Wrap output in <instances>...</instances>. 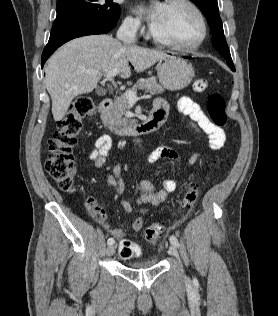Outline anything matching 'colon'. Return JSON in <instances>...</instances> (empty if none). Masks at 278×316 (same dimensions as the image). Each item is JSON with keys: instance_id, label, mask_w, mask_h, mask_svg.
<instances>
[{"instance_id": "obj_1", "label": "colon", "mask_w": 278, "mask_h": 316, "mask_svg": "<svg viewBox=\"0 0 278 316\" xmlns=\"http://www.w3.org/2000/svg\"><path fill=\"white\" fill-rule=\"evenodd\" d=\"M207 88L205 79H198L193 84L195 92H203ZM225 100L221 93H212L207 101V111L210 120L218 127H224L227 122ZM96 108L88 96H80L70 105L65 116L58 122L54 136L48 142L49 154L45 161V168L50 177L57 183L62 191H74L75 160L73 149L77 144V137L82 130V119L95 115ZM199 188L196 183L189 186L185 192L181 205L185 210H190L196 203ZM87 211L91 215L98 213V208L93 198L85 202ZM163 226L154 223L144 230V238L150 244H155L160 238ZM119 252L123 258H131L141 254V249L130 240H122Z\"/></svg>"}]
</instances>
